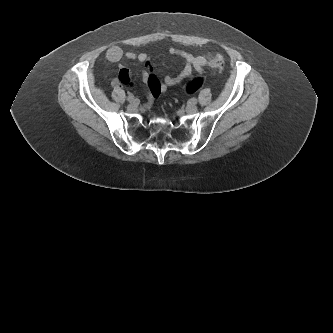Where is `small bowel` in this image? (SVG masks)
<instances>
[{"label": "small bowel", "mask_w": 333, "mask_h": 333, "mask_svg": "<svg viewBox=\"0 0 333 333\" xmlns=\"http://www.w3.org/2000/svg\"><path fill=\"white\" fill-rule=\"evenodd\" d=\"M170 54L180 57L184 60V67L177 76H165L159 80L153 72V67L149 62V58L145 53L124 52L119 46H111L106 50V59L110 62H119L123 58L129 60H137L143 64L142 80L148 87L147 104L150 105L153 100L160 94L165 93L171 86L180 84L185 79L190 78L196 71L203 73L210 55H193L179 48H171ZM123 85L129 89L134 90L137 87V82L129 77V70L125 66H120L118 70V77L112 80V86L117 88Z\"/></svg>", "instance_id": "1"}]
</instances>
